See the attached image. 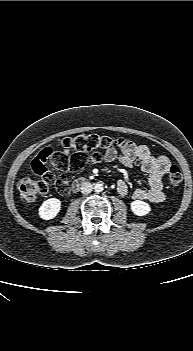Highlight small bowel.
I'll return each instance as SVG.
<instances>
[{"instance_id":"obj_1","label":"small bowel","mask_w":193,"mask_h":351,"mask_svg":"<svg viewBox=\"0 0 193 351\" xmlns=\"http://www.w3.org/2000/svg\"><path fill=\"white\" fill-rule=\"evenodd\" d=\"M120 153L113 148L105 151L103 159L105 162L118 161L126 167L138 163L141 169L148 175V188H136L132 192L135 200L148 201L159 204L165 200L162 179L168 172L170 160L167 156H155L146 145L136 144L124 138L116 139ZM67 152V151H66ZM117 191L120 195H127L129 187L124 180L117 182Z\"/></svg>"}]
</instances>
